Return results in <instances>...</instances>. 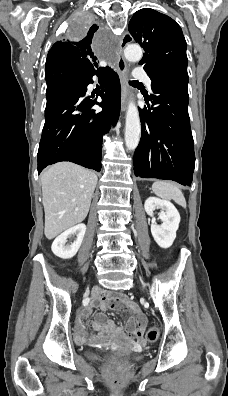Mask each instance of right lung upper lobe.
Segmentation results:
<instances>
[{"label":"right lung upper lobe","instance_id":"obj_1","mask_svg":"<svg viewBox=\"0 0 228 396\" xmlns=\"http://www.w3.org/2000/svg\"><path fill=\"white\" fill-rule=\"evenodd\" d=\"M97 29V26H92L87 36L81 40L55 43L47 55L45 74L58 71H71L77 75L83 72L95 74L111 70L110 67L98 68L96 63L97 57L92 50V39Z\"/></svg>","mask_w":228,"mask_h":396}]
</instances>
